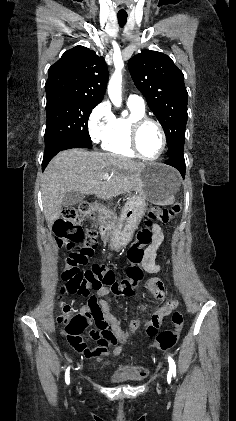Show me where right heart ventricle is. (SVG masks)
<instances>
[{
    "label": "right heart ventricle",
    "mask_w": 236,
    "mask_h": 421,
    "mask_svg": "<svg viewBox=\"0 0 236 421\" xmlns=\"http://www.w3.org/2000/svg\"><path fill=\"white\" fill-rule=\"evenodd\" d=\"M129 113L120 117H114L113 121L101 141V148L117 157L136 158L128 138L129 122L139 116L145 115V108L136 104L128 103Z\"/></svg>",
    "instance_id": "e07e8e85"
}]
</instances>
